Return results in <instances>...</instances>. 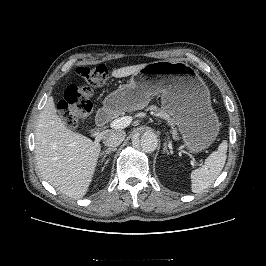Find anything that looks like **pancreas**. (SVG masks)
Instances as JSON below:
<instances>
[{
  "instance_id": "pancreas-1",
  "label": "pancreas",
  "mask_w": 266,
  "mask_h": 266,
  "mask_svg": "<svg viewBox=\"0 0 266 266\" xmlns=\"http://www.w3.org/2000/svg\"><path fill=\"white\" fill-rule=\"evenodd\" d=\"M149 109L156 111L160 117H163L167 120L168 124L172 127L173 138L178 140L179 137L177 134V130L174 128V124H175L174 120L167 113H165L163 110H159L156 106H150Z\"/></svg>"
}]
</instances>
